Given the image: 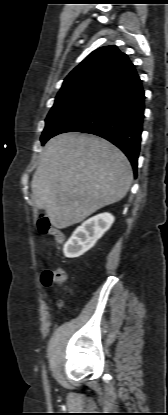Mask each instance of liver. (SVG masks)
Returning <instances> with one entry per match:
<instances>
[{
  "instance_id": "6515ba94",
  "label": "liver",
  "mask_w": 168,
  "mask_h": 415,
  "mask_svg": "<svg viewBox=\"0 0 168 415\" xmlns=\"http://www.w3.org/2000/svg\"><path fill=\"white\" fill-rule=\"evenodd\" d=\"M133 172L127 157L109 141L65 133L45 145L31 188L37 208L64 229L125 197Z\"/></svg>"
}]
</instances>
